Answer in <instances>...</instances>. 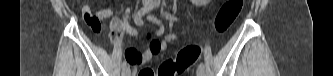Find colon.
Listing matches in <instances>:
<instances>
[{"instance_id": "5ec220e1", "label": "colon", "mask_w": 333, "mask_h": 76, "mask_svg": "<svg viewBox=\"0 0 333 76\" xmlns=\"http://www.w3.org/2000/svg\"><path fill=\"white\" fill-rule=\"evenodd\" d=\"M244 0H227L219 9L214 28L218 34H224L233 25L240 15ZM201 55V48L198 45L190 44L182 48L175 58L164 60L156 72L151 68L140 70L139 76H176L184 73L192 67Z\"/></svg>"}]
</instances>
